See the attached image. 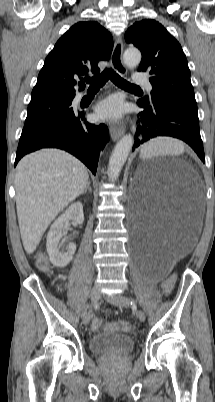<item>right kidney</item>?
<instances>
[{"label": "right kidney", "mask_w": 215, "mask_h": 402, "mask_svg": "<svg viewBox=\"0 0 215 402\" xmlns=\"http://www.w3.org/2000/svg\"><path fill=\"white\" fill-rule=\"evenodd\" d=\"M69 220H73L78 224L84 221L83 205L81 202H75L52 224L47 236V252L50 257L51 263L56 267L67 266L73 258L76 251V245L69 243L66 248L60 250L63 242H60Z\"/></svg>", "instance_id": "obj_1"}]
</instances>
